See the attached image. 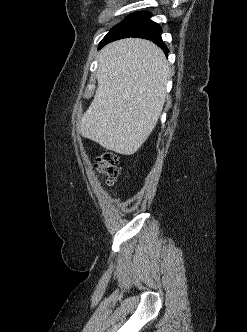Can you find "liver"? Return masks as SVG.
Wrapping results in <instances>:
<instances>
[{
	"instance_id": "obj_1",
	"label": "liver",
	"mask_w": 247,
	"mask_h": 332,
	"mask_svg": "<svg viewBox=\"0 0 247 332\" xmlns=\"http://www.w3.org/2000/svg\"><path fill=\"white\" fill-rule=\"evenodd\" d=\"M98 62V87L77 131L107 150L134 154L161 115L169 64L158 46L136 38L108 44Z\"/></svg>"
}]
</instances>
